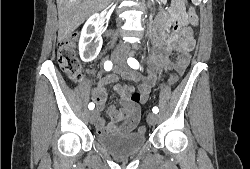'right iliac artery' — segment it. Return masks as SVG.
Here are the masks:
<instances>
[{
    "label": "right iliac artery",
    "instance_id": "82829eb1",
    "mask_svg": "<svg viewBox=\"0 0 250 169\" xmlns=\"http://www.w3.org/2000/svg\"><path fill=\"white\" fill-rule=\"evenodd\" d=\"M112 66H113V64H112L111 61H106V62L104 63V69H105L106 71H110V70L112 69ZM94 107H95L94 103H90V104L88 105V108H89L90 110H93Z\"/></svg>",
    "mask_w": 250,
    "mask_h": 169
}]
</instances>
